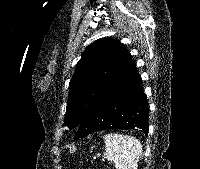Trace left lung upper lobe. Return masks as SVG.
<instances>
[{"label": "left lung upper lobe", "mask_w": 200, "mask_h": 169, "mask_svg": "<svg viewBox=\"0 0 200 169\" xmlns=\"http://www.w3.org/2000/svg\"><path fill=\"white\" fill-rule=\"evenodd\" d=\"M136 73V65L124 45L101 38L89 45L69 83L64 125L73 129L104 96L119 88Z\"/></svg>", "instance_id": "left-lung-upper-lobe-1"}]
</instances>
